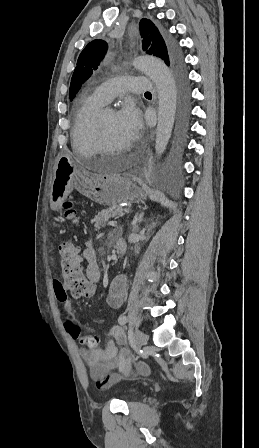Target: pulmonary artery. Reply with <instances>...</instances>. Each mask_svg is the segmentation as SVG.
<instances>
[{
    "mask_svg": "<svg viewBox=\"0 0 259 448\" xmlns=\"http://www.w3.org/2000/svg\"><path fill=\"white\" fill-rule=\"evenodd\" d=\"M133 79H134V77H132V76H118V77L114 78L112 81H109V82L99 85L96 88L95 93L100 100H102L105 104H107L116 95H118L120 92L123 91L122 87L113 85L114 81H118V80L126 81V80H133Z\"/></svg>",
    "mask_w": 259,
    "mask_h": 448,
    "instance_id": "obj_1",
    "label": "pulmonary artery"
}]
</instances>
